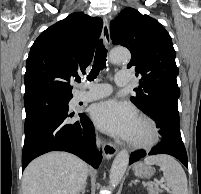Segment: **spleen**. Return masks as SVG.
Listing matches in <instances>:
<instances>
[{"label": "spleen", "mask_w": 201, "mask_h": 194, "mask_svg": "<svg viewBox=\"0 0 201 194\" xmlns=\"http://www.w3.org/2000/svg\"><path fill=\"white\" fill-rule=\"evenodd\" d=\"M147 165H158L163 171L171 194H188L187 177L181 165L173 157L165 154L149 156L144 159Z\"/></svg>", "instance_id": "obj_1"}]
</instances>
